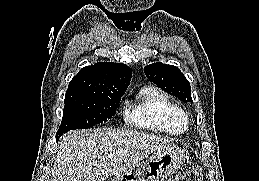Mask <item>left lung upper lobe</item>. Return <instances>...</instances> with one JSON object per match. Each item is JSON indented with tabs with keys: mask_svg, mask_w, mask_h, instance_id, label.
<instances>
[{
	"mask_svg": "<svg viewBox=\"0 0 259 181\" xmlns=\"http://www.w3.org/2000/svg\"><path fill=\"white\" fill-rule=\"evenodd\" d=\"M144 72L150 81L165 92L184 102H192L190 83L176 66L157 62L145 66Z\"/></svg>",
	"mask_w": 259,
	"mask_h": 181,
	"instance_id": "1",
	"label": "left lung upper lobe"
}]
</instances>
